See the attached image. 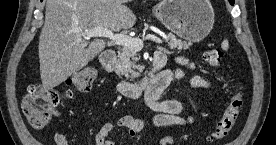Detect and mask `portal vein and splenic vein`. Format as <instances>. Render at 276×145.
<instances>
[{"instance_id":"obj_1","label":"portal vein and splenic vein","mask_w":276,"mask_h":145,"mask_svg":"<svg viewBox=\"0 0 276 145\" xmlns=\"http://www.w3.org/2000/svg\"><path fill=\"white\" fill-rule=\"evenodd\" d=\"M79 34L84 37H106L117 45L133 48L135 50L142 49L144 40H151L157 44H162V40L159 37L152 34H148L146 37L139 39L124 34H114L111 30L102 27L85 30L84 32Z\"/></svg>"}]
</instances>
